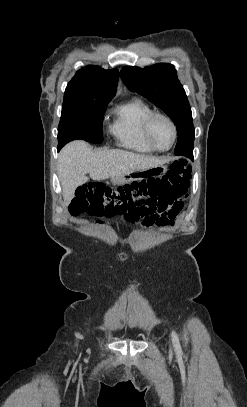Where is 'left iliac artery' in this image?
<instances>
[{
  "label": "left iliac artery",
  "mask_w": 247,
  "mask_h": 407,
  "mask_svg": "<svg viewBox=\"0 0 247 407\" xmlns=\"http://www.w3.org/2000/svg\"><path fill=\"white\" fill-rule=\"evenodd\" d=\"M171 335H172V342H173L175 350L178 351V352H181L182 349H181V346H180V342H179V338H178L177 333L175 331H172Z\"/></svg>",
  "instance_id": "1"
}]
</instances>
